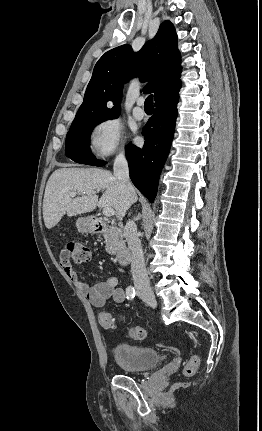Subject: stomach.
I'll use <instances>...</instances> for the list:
<instances>
[{
	"instance_id": "stomach-1",
	"label": "stomach",
	"mask_w": 262,
	"mask_h": 431,
	"mask_svg": "<svg viewBox=\"0 0 262 431\" xmlns=\"http://www.w3.org/2000/svg\"><path fill=\"white\" fill-rule=\"evenodd\" d=\"M78 231L83 233H94L96 226L92 217H81L76 221Z\"/></svg>"
}]
</instances>
